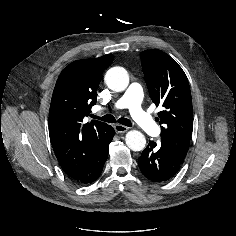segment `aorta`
Wrapping results in <instances>:
<instances>
[{"label": "aorta", "instance_id": "obj_1", "mask_svg": "<svg viewBox=\"0 0 236 236\" xmlns=\"http://www.w3.org/2000/svg\"><path fill=\"white\" fill-rule=\"evenodd\" d=\"M106 85L114 91H124L129 84L127 71L122 67H113L105 75ZM126 145L133 151H142L146 145L145 136L137 131L131 130L125 136Z\"/></svg>", "mask_w": 236, "mask_h": 236}]
</instances>
